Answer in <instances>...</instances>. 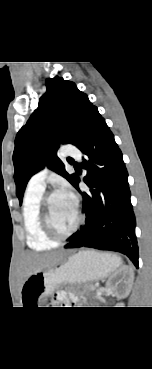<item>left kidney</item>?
<instances>
[{
  "mask_svg": "<svg viewBox=\"0 0 152 369\" xmlns=\"http://www.w3.org/2000/svg\"><path fill=\"white\" fill-rule=\"evenodd\" d=\"M117 279H121V282L123 283L121 291L118 290L117 285L115 283V280ZM133 281H134V272L132 268H130L129 266H123L108 279V281L106 282V288L109 291L114 292L117 295V297L125 298L130 293Z\"/></svg>",
  "mask_w": 152,
  "mask_h": 369,
  "instance_id": "left-kidney-1",
  "label": "left kidney"
}]
</instances>
